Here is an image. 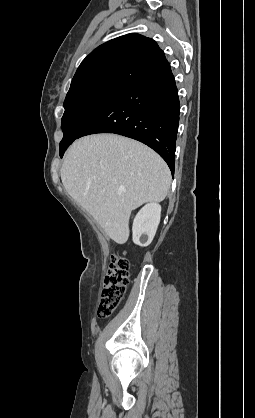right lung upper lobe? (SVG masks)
I'll use <instances>...</instances> for the list:
<instances>
[{
  "mask_svg": "<svg viewBox=\"0 0 255 418\" xmlns=\"http://www.w3.org/2000/svg\"><path fill=\"white\" fill-rule=\"evenodd\" d=\"M168 68L164 52L153 39L131 33L94 49L78 67L69 91L97 81L128 86Z\"/></svg>",
  "mask_w": 255,
  "mask_h": 418,
  "instance_id": "1",
  "label": "right lung upper lobe"
}]
</instances>
